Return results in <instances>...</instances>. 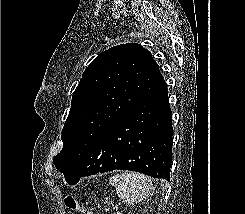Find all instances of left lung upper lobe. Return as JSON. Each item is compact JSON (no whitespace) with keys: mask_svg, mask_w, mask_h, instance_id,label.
Wrapping results in <instances>:
<instances>
[{"mask_svg":"<svg viewBox=\"0 0 245 214\" xmlns=\"http://www.w3.org/2000/svg\"><path fill=\"white\" fill-rule=\"evenodd\" d=\"M164 82L151 53L139 44H121L101 53L73 93L63 148L53 158L56 168L66 176L115 121Z\"/></svg>","mask_w":245,"mask_h":214,"instance_id":"5c2ea615","label":"left lung upper lobe"}]
</instances>
